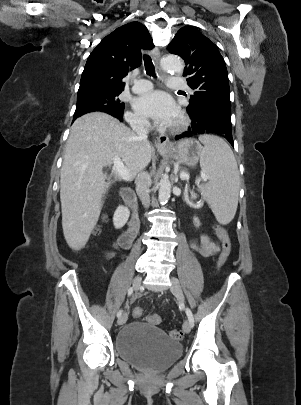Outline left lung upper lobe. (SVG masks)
I'll use <instances>...</instances> for the list:
<instances>
[{"instance_id":"left-lung-upper-lobe-1","label":"left lung upper lobe","mask_w":301,"mask_h":405,"mask_svg":"<svg viewBox=\"0 0 301 405\" xmlns=\"http://www.w3.org/2000/svg\"><path fill=\"white\" fill-rule=\"evenodd\" d=\"M182 57L189 86L195 90L187 111L212 109L231 115L228 73L215 44L191 26L182 27L168 46Z\"/></svg>"}]
</instances>
